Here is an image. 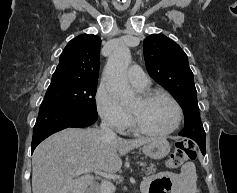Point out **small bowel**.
<instances>
[{
	"label": "small bowel",
	"mask_w": 237,
	"mask_h": 193,
	"mask_svg": "<svg viewBox=\"0 0 237 193\" xmlns=\"http://www.w3.org/2000/svg\"><path fill=\"white\" fill-rule=\"evenodd\" d=\"M142 193H201L196 166L185 163L178 173L159 172L142 183Z\"/></svg>",
	"instance_id": "obj_1"
}]
</instances>
